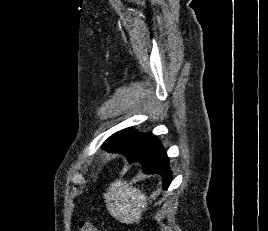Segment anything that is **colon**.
<instances>
[{"mask_svg": "<svg viewBox=\"0 0 268 231\" xmlns=\"http://www.w3.org/2000/svg\"><path fill=\"white\" fill-rule=\"evenodd\" d=\"M79 231H106V230L100 229L96 225L88 221H83L79 224Z\"/></svg>", "mask_w": 268, "mask_h": 231, "instance_id": "5ec220e1", "label": "colon"}]
</instances>
